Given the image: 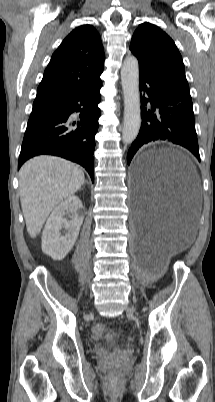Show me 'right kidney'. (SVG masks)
Returning a JSON list of instances; mask_svg holds the SVG:
<instances>
[{
	"label": "right kidney",
	"instance_id": "ca27d5eb",
	"mask_svg": "<svg viewBox=\"0 0 215 402\" xmlns=\"http://www.w3.org/2000/svg\"><path fill=\"white\" fill-rule=\"evenodd\" d=\"M83 206L77 196H69L55 207L42 233V251L54 260H62L74 246L84 220ZM71 214V220L64 217ZM66 230L64 235L61 230Z\"/></svg>",
	"mask_w": 215,
	"mask_h": 402
}]
</instances>
